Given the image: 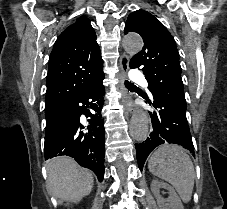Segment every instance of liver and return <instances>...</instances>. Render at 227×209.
Segmentation results:
<instances>
[{
	"label": "liver",
	"instance_id": "6515ba94",
	"mask_svg": "<svg viewBox=\"0 0 227 209\" xmlns=\"http://www.w3.org/2000/svg\"><path fill=\"white\" fill-rule=\"evenodd\" d=\"M94 177L70 157H55L47 165V189L53 197L77 203L93 189Z\"/></svg>",
	"mask_w": 227,
	"mask_h": 209
}]
</instances>
